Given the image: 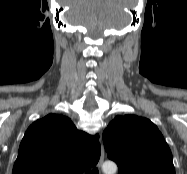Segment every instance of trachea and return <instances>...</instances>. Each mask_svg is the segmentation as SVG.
Segmentation results:
<instances>
[{"label": "trachea", "instance_id": "3493384b", "mask_svg": "<svg viewBox=\"0 0 187 174\" xmlns=\"http://www.w3.org/2000/svg\"><path fill=\"white\" fill-rule=\"evenodd\" d=\"M88 174H99V172H98V169L95 168V169L91 170Z\"/></svg>", "mask_w": 187, "mask_h": 174}]
</instances>
